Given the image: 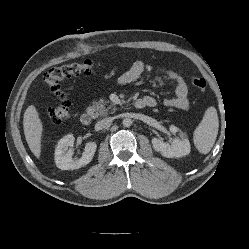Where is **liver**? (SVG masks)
<instances>
[{
	"instance_id": "6515ba94",
	"label": "liver",
	"mask_w": 249,
	"mask_h": 249,
	"mask_svg": "<svg viewBox=\"0 0 249 249\" xmlns=\"http://www.w3.org/2000/svg\"><path fill=\"white\" fill-rule=\"evenodd\" d=\"M23 128L31 152L35 157L40 158L43 125L34 105L28 106L24 112Z\"/></svg>"
}]
</instances>
